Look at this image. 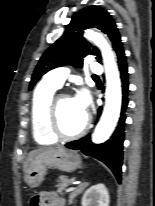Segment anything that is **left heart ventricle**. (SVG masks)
I'll list each match as a JSON object with an SVG mask.
<instances>
[{
    "instance_id": "1",
    "label": "left heart ventricle",
    "mask_w": 155,
    "mask_h": 206,
    "mask_svg": "<svg viewBox=\"0 0 155 206\" xmlns=\"http://www.w3.org/2000/svg\"><path fill=\"white\" fill-rule=\"evenodd\" d=\"M74 98H63L58 103V122L65 133H73L79 130L85 120Z\"/></svg>"
}]
</instances>
